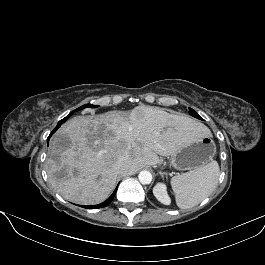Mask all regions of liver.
I'll use <instances>...</instances> for the list:
<instances>
[{"mask_svg": "<svg viewBox=\"0 0 265 265\" xmlns=\"http://www.w3.org/2000/svg\"><path fill=\"white\" fill-rule=\"evenodd\" d=\"M210 134L192 118L152 106L135 107L129 115L109 111L77 116L53 138L46 161L48 180L66 200L98 204L111 194L119 174L155 165L158 155L170 156L187 138ZM120 160L125 170L119 169Z\"/></svg>", "mask_w": 265, "mask_h": 265, "instance_id": "6515ba94", "label": "liver"}]
</instances>
